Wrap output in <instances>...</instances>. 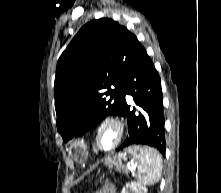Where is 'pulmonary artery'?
<instances>
[{
    "instance_id": "pulmonary-artery-1",
    "label": "pulmonary artery",
    "mask_w": 221,
    "mask_h": 193,
    "mask_svg": "<svg viewBox=\"0 0 221 193\" xmlns=\"http://www.w3.org/2000/svg\"><path fill=\"white\" fill-rule=\"evenodd\" d=\"M127 100H131V97L129 95L126 96Z\"/></svg>"
}]
</instances>
